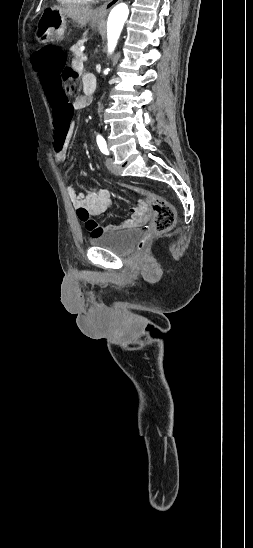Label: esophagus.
I'll use <instances>...</instances> for the list:
<instances>
[{"label": "esophagus", "mask_w": 253, "mask_h": 548, "mask_svg": "<svg viewBox=\"0 0 253 548\" xmlns=\"http://www.w3.org/2000/svg\"><path fill=\"white\" fill-rule=\"evenodd\" d=\"M121 0H108L106 3L101 5L99 8L95 10V16L98 18L105 17L108 12Z\"/></svg>", "instance_id": "1"}]
</instances>
